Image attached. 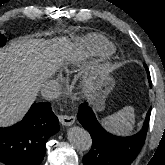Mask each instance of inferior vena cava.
I'll return each mask as SVG.
<instances>
[{"label": "inferior vena cava", "instance_id": "inferior-vena-cava-1", "mask_svg": "<svg viewBox=\"0 0 165 165\" xmlns=\"http://www.w3.org/2000/svg\"><path fill=\"white\" fill-rule=\"evenodd\" d=\"M60 85L56 81H47L40 88L41 95L47 100H52L60 95Z\"/></svg>", "mask_w": 165, "mask_h": 165}]
</instances>
